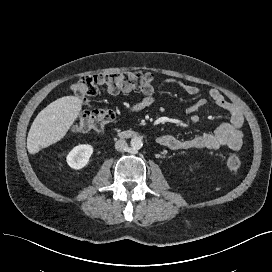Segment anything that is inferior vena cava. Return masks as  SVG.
Returning <instances> with one entry per match:
<instances>
[{"mask_svg": "<svg viewBox=\"0 0 272 272\" xmlns=\"http://www.w3.org/2000/svg\"><path fill=\"white\" fill-rule=\"evenodd\" d=\"M127 148H128V144H127V142L125 140L120 139V140L115 142V149L117 151L124 152V151L127 150Z\"/></svg>", "mask_w": 272, "mask_h": 272, "instance_id": "obj_1", "label": "inferior vena cava"}]
</instances>
